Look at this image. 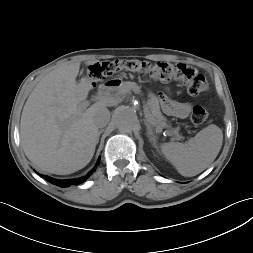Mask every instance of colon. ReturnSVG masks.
<instances>
[{
	"instance_id": "1",
	"label": "colon",
	"mask_w": 253,
	"mask_h": 253,
	"mask_svg": "<svg viewBox=\"0 0 253 253\" xmlns=\"http://www.w3.org/2000/svg\"><path fill=\"white\" fill-rule=\"evenodd\" d=\"M120 71H132L162 81L178 80L193 96L200 95L209 88L205 76L191 66L167 62L151 63L138 59L97 62L89 67L88 77L91 81L98 82ZM207 117V111L201 106H195L190 115L191 122L194 125L203 124Z\"/></svg>"
}]
</instances>
